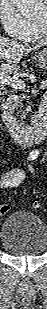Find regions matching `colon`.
Listing matches in <instances>:
<instances>
[{
  "instance_id": "obj_1",
  "label": "colon",
  "mask_w": 47,
  "mask_h": 309,
  "mask_svg": "<svg viewBox=\"0 0 47 309\" xmlns=\"http://www.w3.org/2000/svg\"><path fill=\"white\" fill-rule=\"evenodd\" d=\"M33 207L35 209H38V208H40V204L35 201V202H33ZM9 211H10V207L8 205H2L0 207V213L3 214V215L7 214Z\"/></svg>"
}]
</instances>
